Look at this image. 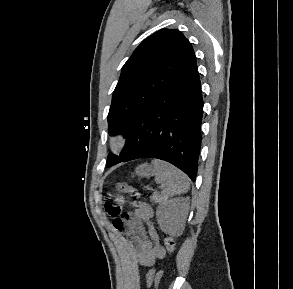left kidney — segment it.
<instances>
[{"mask_svg":"<svg viewBox=\"0 0 293 289\" xmlns=\"http://www.w3.org/2000/svg\"><path fill=\"white\" fill-rule=\"evenodd\" d=\"M189 209V198H173L163 202L157 209V221L161 230L176 236L184 227Z\"/></svg>","mask_w":293,"mask_h":289,"instance_id":"5707ae66","label":"left kidney"}]
</instances>
